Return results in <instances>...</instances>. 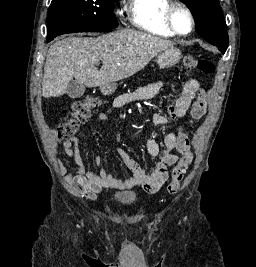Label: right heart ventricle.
Returning <instances> with one entry per match:
<instances>
[{"label":"right heart ventricle","instance_id":"obj_1","mask_svg":"<svg viewBox=\"0 0 256 267\" xmlns=\"http://www.w3.org/2000/svg\"><path fill=\"white\" fill-rule=\"evenodd\" d=\"M165 0H138L135 9L140 10L143 15L134 21L138 28H143V36H176L169 28L165 20L168 6Z\"/></svg>","mask_w":256,"mask_h":267}]
</instances>
